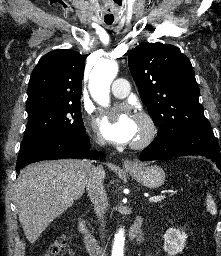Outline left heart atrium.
I'll list each match as a JSON object with an SVG mask.
<instances>
[{
    "instance_id": "39dd6f15",
    "label": "left heart atrium",
    "mask_w": 221,
    "mask_h": 256,
    "mask_svg": "<svg viewBox=\"0 0 221 256\" xmlns=\"http://www.w3.org/2000/svg\"><path fill=\"white\" fill-rule=\"evenodd\" d=\"M97 122L103 136L115 143L134 140L138 131L137 118L128 111H122L115 116L103 115Z\"/></svg>"
}]
</instances>
